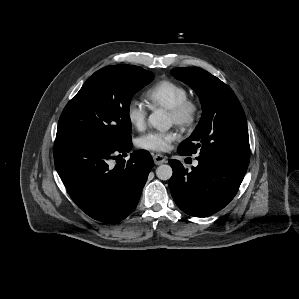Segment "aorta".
<instances>
[{"label":"aorta","mask_w":299,"mask_h":299,"mask_svg":"<svg viewBox=\"0 0 299 299\" xmlns=\"http://www.w3.org/2000/svg\"><path fill=\"white\" fill-rule=\"evenodd\" d=\"M149 124L158 129L159 131H167L171 127V120L166 114L165 111L158 109L152 112L149 116ZM173 174L172 168L170 165H160L156 169V176L160 180H169Z\"/></svg>","instance_id":"aorta-1"}]
</instances>
